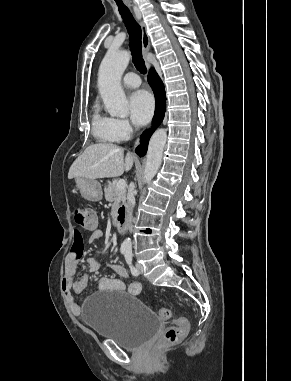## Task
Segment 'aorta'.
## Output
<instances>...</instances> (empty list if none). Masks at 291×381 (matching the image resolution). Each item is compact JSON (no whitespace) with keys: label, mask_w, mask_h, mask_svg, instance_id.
I'll use <instances>...</instances> for the list:
<instances>
[{"label":"aorta","mask_w":291,"mask_h":381,"mask_svg":"<svg viewBox=\"0 0 291 381\" xmlns=\"http://www.w3.org/2000/svg\"><path fill=\"white\" fill-rule=\"evenodd\" d=\"M130 54L127 51L109 50L103 58L98 71V89L104 105L111 116H127V99L121 87V77L129 64ZM167 140L166 129H158L152 135L144 170V182H150L157 173ZM131 240L123 241L122 247L131 248Z\"/></svg>","instance_id":"aorta-1"}]
</instances>
